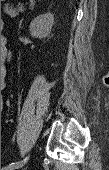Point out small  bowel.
Listing matches in <instances>:
<instances>
[{
    "mask_svg": "<svg viewBox=\"0 0 109 170\" xmlns=\"http://www.w3.org/2000/svg\"><path fill=\"white\" fill-rule=\"evenodd\" d=\"M1 44H2L3 46H5L6 40H5V39H1Z\"/></svg>",
    "mask_w": 109,
    "mask_h": 170,
    "instance_id": "c3829d8e",
    "label": "small bowel"
}]
</instances>
